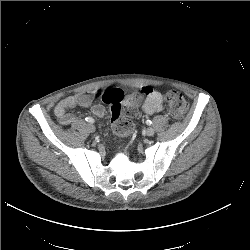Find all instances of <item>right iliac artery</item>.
I'll return each mask as SVG.
<instances>
[{"instance_id": "obj_1", "label": "right iliac artery", "mask_w": 250, "mask_h": 250, "mask_svg": "<svg viewBox=\"0 0 250 250\" xmlns=\"http://www.w3.org/2000/svg\"><path fill=\"white\" fill-rule=\"evenodd\" d=\"M85 120L89 123H94V119L91 117H86Z\"/></svg>"}]
</instances>
